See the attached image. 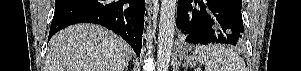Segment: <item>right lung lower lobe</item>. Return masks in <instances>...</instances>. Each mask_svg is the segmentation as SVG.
Returning a JSON list of instances; mask_svg holds the SVG:
<instances>
[{
  "mask_svg": "<svg viewBox=\"0 0 301 71\" xmlns=\"http://www.w3.org/2000/svg\"><path fill=\"white\" fill-rule=\"evenodd\" d=\"M144 0H56L48 40L76 23L100 24L122 36L140 55L144 27Z\"/></svg>",
  "mask_w": 301,
  "mask_h": 71,
  "instance_id": "98d812e1",
  "label": "right lung lower lobe"
}]
</instances>
